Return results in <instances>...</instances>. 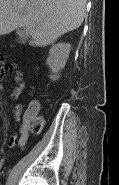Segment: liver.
<instances>
[{"instance_id":"obj_1","label":"liver","mask_w":119,"mask_h":185,"mask_svg":"<svg viewBox=\"0 0 119 185\" xmlns=\"http://www.w3.org/2000/svg\"><path fill=\"white\" fill-rule=\"evenodd\" d=\"M87 0H0V35L24 28L34 46H47L81 26Z\"/></svg>"}]
</instances>
